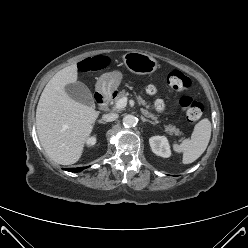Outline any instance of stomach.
I'll return each mask as SVG.
<instances>
[{
	"label": "stomach",
	"mask_w": 248,
	"mask_h": 248,
	"mask_svg": "<svg viewBox=\"0 0 248 248\" xmlns=\"http://www.w3.org/2000/svg\"><path fill=\"white\" fill-rule=\"evenodd\" d=\"M122 60L127 69L137 75L152 74L159 66L153 57L138 52L125 53ZM122 80L123 74L120 71L105 73L97 80L96 90L102 95H111Z\"/></svg>",
	"instance_id": "obj_1"
}]
</instances>
